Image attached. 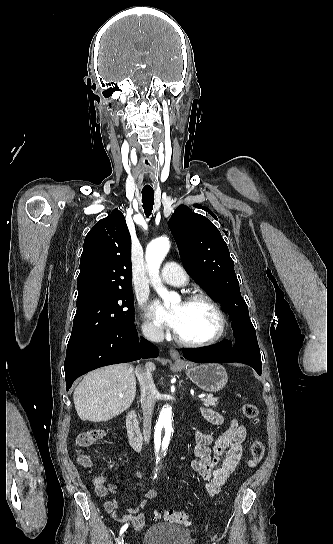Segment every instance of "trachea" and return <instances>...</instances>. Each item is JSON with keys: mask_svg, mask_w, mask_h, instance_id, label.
I'll return each instance as SVG.
<instances>
[{"mask_svg": "<svg viewBox=\"0 0 333 544\" xmlns=\"http://www.w3.org/2000/svg\"><path fill=\"white\" fill-rule=\"evenodd\" d=\"M143 209L147 217L151 215L154 204V191L142 190Z\"/></svg>", "mask_w": 333, "mask_h": 544, "instance_id": "trachea-1", "label": "trachea"}]
</instances>
